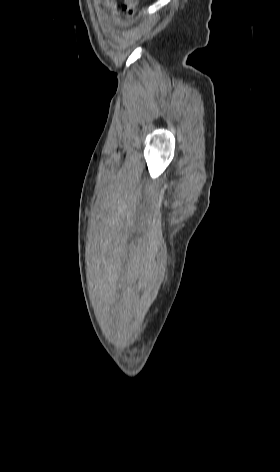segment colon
<instances>
[{"label":"colon","instance_id":"obj_1","mask_svg":"<svg viewBox=\"0 0 280 472\" xmlns=\"http://www.w3.org/2000/svg\"><path fill=\"white\" fill-rule=\"evenodd\" d=\"M137 5H138V0H125L123 9L127 13V17L130 18L135 14Z\"/></svg>","mask_w":280,"mask_h":472}]
</instances>
